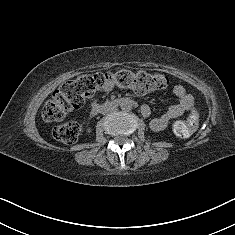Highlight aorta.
<instances>
[{"instance_id":"762f6f07","label":"aorta","mask_w":235,"mask_h":235,"mask_svg":"<svg viewBox=\"0 0 235 235\" xmlns=\"http://www.w3.org/2000/svg\"><path fill=\"white\" fill-rule=\"evenodd\" d=\"M122 108H123V109H126V106H125V105H123V106H122Z\"/></svg>"}]
</instances>
